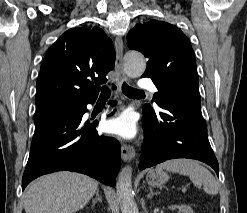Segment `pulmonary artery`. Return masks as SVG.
I'll use <instances>...</instances> for the list:
<instances>
[{
	"label": "pulmonary artery",
	"instance_id": "obj_1",
	"mask_svg": "<svg viewBox=\"0 0 247 213\" xmlns=\"http://www.w3.org/2000/svg\"><path fill=\"white\" fill-rule=\"evenodd\" d=\"M139 86H140L141 89L148 90L151 93H156L157 92V88L155 87L153 82L148 78L141 79Z\"/></svg>",
	"mask_w": 247,
	"mask_h": 213
}]
</instances>
